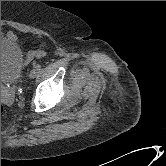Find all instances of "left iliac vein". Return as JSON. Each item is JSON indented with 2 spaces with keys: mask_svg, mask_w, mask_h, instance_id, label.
Instances as JSON below:
<instances>
[{
  "mask_svg": "<svg viewBox=\"0 0 166 166\" xmlns=\"http://www.w3.org/2000/svg\"><path fill=\"white\" fill-rule=\"evenodd\" d=\"M36 75H37V70L33 69L30 71L29 77L33 79L36 77Z\"/></svg>",
  "mask_w": 166,
  "mask_h": 166,
  "instance_id": "1",
  "label": "left iliac vein"
}]
</instances>
